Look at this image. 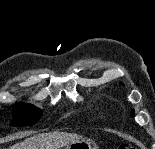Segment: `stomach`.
I'll use <instances>...</instances> for the list:
<instances>
[{
	"label": "stomach",
	"instance_id": "0dacf381",
	"mask_svg": "<svg viewBox=\"0 0 155 149\" xmlns=\"http://www.w3.org/2000/svg\"><path fill=\"white\" fill-rule=\"evenodd\" d=\"M65 149H98V148L94 141L82 138L76 142L67 144L65 146Z\"/></svg>",
	"mask_w": 155,
	"mask_h": 149
}]
</instances>
